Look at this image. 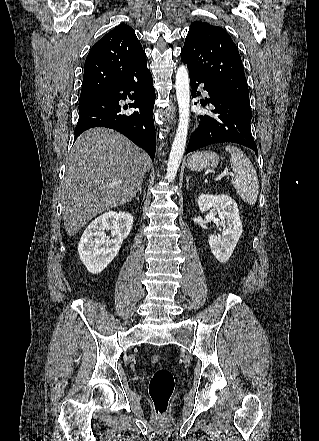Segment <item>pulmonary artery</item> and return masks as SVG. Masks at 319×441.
I'll return each mask as SVG.
<instances>
[{"mask_svg":"<svg viewBox=\"0 0 319 441\" xmlns=\"http://www.w3.org/2000/svg\"><path fill=\"white\" fill-rule=\"evenodd\" d=\"M204 94H205V95H208V93H207L206 91L204 92Z\"/></svg>","mask_w":319,"mask_h":441,"instance_id":"1","label":"pulmonary artery"}]
</instances>
